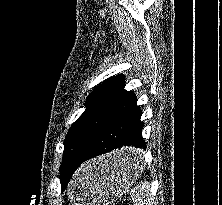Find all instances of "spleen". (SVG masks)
<instances>
[{"label":"spleen","mask_w":222,"mask_h":205,"mask_svg":"<svg viewBox=\"0 0 222 205\" xmlns=\"http://www.w3.org/2000/svg\"><path fill=\"white\" fill-rule=\"evenodd\" d=\"M150 186L147 182H141L132 190L131 198L134 205H152V198L149 194Z\"/></svg>","instance_id":"3e777b00"}]
</instances>
